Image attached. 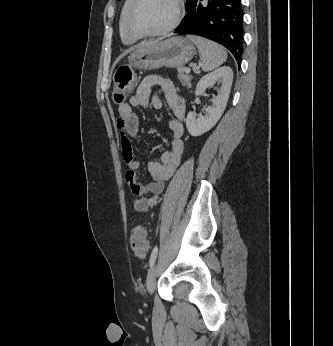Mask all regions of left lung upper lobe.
<instances>
[{"label":"left lung upper lobe","mask_w":333,"mask_h":346,"mask_svg":"<svg viewBox=\"0 0 333 346\" xmlns=\"http://www.w3.org/2000/svg\"><path fill=\"white\" fill-rule=\"evenodd\" d=\"M190 0H186V2L188 3Z\"/></svg>","instance_id":"1"}]
</instances>
